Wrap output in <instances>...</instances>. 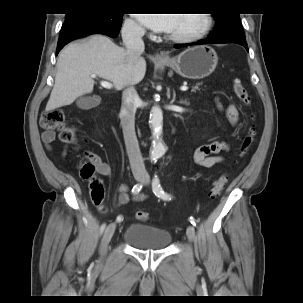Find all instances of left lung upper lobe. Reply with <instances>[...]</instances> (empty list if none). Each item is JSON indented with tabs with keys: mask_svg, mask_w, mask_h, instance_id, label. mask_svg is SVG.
I'll list each match as a JSON object with an SVG mask.
<instances>
[{
	"mask_svg": "<svg viewBox=\"0 0 303 303\" xmlns=\"http://www.w3.org/2000/svg\"><path fill=\"white\" fill-rule=\"evenodd\" d=\"M213 15L216 20L215 30L207 38H245L238 13Z\"/></svg>",
	"mask_w": 303,
	"mask_h": 303,
	"instance_id": "1",
	"label": "left lung upper lobe"
}]
</instances>
